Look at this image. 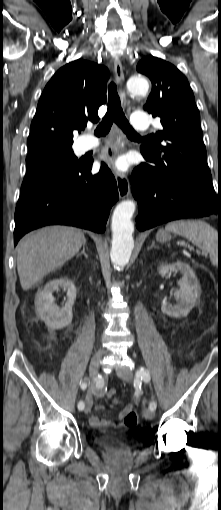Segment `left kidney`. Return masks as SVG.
I'll return each mask as SVG.
<instances>
[{
    "label": "left kidney",
    "mask_w": 221,
    "mask_h": 510,
    "mask_svg": "<svg viewBox=\"0 0 221 510\" xmlns=\"http://www.w3.org/2000/svg\"><path fill=\"white\" fill-rule=\"evenodd\" d=\"M159 274L165 276L168 272H178L183 274L182 279L178 282L179 290L175 291L174 296L178 303L172 305L166 301L162 303L161 310L164 314L181 318L189 314L194 307L196 300L200 296V285L192 268L181 261L172 264H162L158 268Z\"/></svg>",
    "instance_id": "1"
}]
</instances>
